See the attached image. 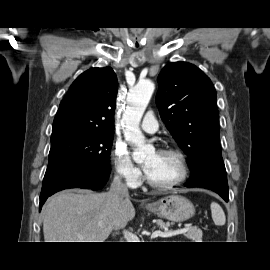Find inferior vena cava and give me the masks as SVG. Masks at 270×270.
I'll list each match as a JSON object with an SVG mask.
<instances>
[{
    "label": "inferior vena cava",
    "mask_w": 270,
    "mask_h": 270,
    "mask_svg": "<svg viewBox=\"0 0 270 270\" xmlns=\"http://www.w3.org/2000/svg\"><path fill=\"white\" fill-rule=\"evenodd\" d=\"M110 192L113 193L118 199L129 196L128 188L121 181V177L119 175H115L110 187Z\"/></svg>",
    "instance_id": "602c4592"
}]
</instances>
